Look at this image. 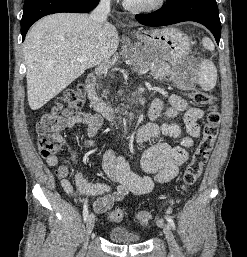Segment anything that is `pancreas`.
<instances>
[{
  "label": "pancreas",
  "mask_w": 247,
  "mask_h": 257,
  "mask_svg": "<svg viewBox=\"0 0 247 257\" xmlns=\"http://www.w3.org/2000/svg\"><path fill=\"white\" fill-rule=\"evenodd\" d=\"M134 63H135V69L137 71H141L146 67H148L147 65L135 59H134ZM149 67L151 69V75L156 80H162L166 77V75H169L171 73L170 66L167 65L166 63H153L149 65ZM104 93L106 94L107 92L104 91Z\"/></svg>",
  "instance_id": "cf45deb5"
}]
</instances>
